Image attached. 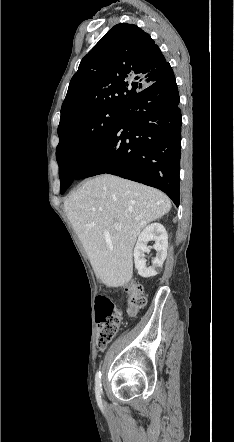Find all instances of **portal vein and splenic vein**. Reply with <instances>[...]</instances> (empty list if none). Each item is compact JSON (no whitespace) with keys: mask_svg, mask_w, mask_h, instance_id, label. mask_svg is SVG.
Here are the masks:
<instances>
[{"mask_svg":"<svg viewBox=\"0 0 234 442\" xmlns=\"http://www.w3.org/2000/svg\"><path fill=\"white\" fill-rule=\"evenodd\" d=\"M115 228L117 229V230H119V229H121V224H119V223H115Z\"/></svg>","mask_w":234,"mask_h":442,"instance_id":"1","label":"portal vein and splenic vein"}]
</instances>
